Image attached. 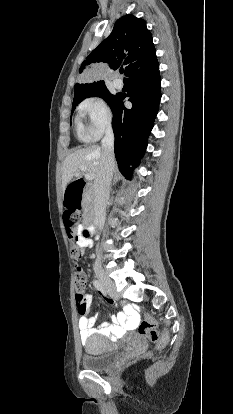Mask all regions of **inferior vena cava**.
Instances as JSON below:
<instances>
[{"instance_id": "inferior-vena-cava-1", "label": "inferior vena cava", "mask_w": 233, "mask_h": 414, "mask_svg": "<svg viewBox=\"0 0 233 414\" xmlns=\"http://www.w3.org/2000/svg\"><path fill=\"white\" fill-rule=\"evenodd\" d=\"M102 157L98 175L94 180V226L100 228L105 220L106 204L110 194V184L115 168L114 133L108 127L101 141Z\"/></svg>"}]
</instances>
